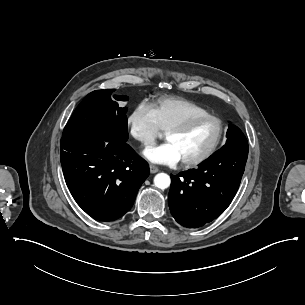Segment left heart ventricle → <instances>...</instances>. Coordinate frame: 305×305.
I'll return each mask as SVG.
<instances>
[{"mask_svg": "<svg viewBox=\"0 0 305 305\" xmlns=\"http://www.w3.org/2000/svg\"><path fill=\"white\" fill-rule=\"evenodd\" d=\"M220 124L210 119L179 132L165 134L166 140L173 143L181 155V160H191L205 153L217 140Z\"/></svg>", "mask_w": 305, "mask_h": 305, "instance_id": "left-heart-ventricle-1", "label": "left heart ventricle"}]
</instances>
